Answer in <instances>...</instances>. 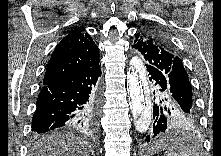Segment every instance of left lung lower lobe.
<instances>
[{
	"label": "left lung lower lobe",
	"mask_w": 221,
	"mask_h": 156,
	"mask_svg": "<svg viewBox=\"0 0 221 156\" xmlns=\"http://www.w3.org/2000/svg\"><path fill=\"white\" fill-rule=\"evenodd\" d=\"M151 82L152 124L147 142L158 141L165 136L192 129L198 120L196 112H187L181 107L171 93V80L167 73L147 67Z\"/></svg>",
	"instance_id": "left-lung-lower-lobe-1"
}]
</instances>
